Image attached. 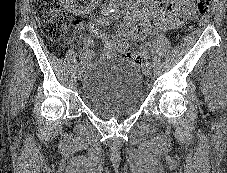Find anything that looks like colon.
<instances>
[{
    "instance_id": "obj_1",
    "label": "colon",
    "mask_w": 227,
    "mask_h": 173,
    "mask_svg": "<svg viewBox=\"0 0 227 173\" xmlns=\"http://www.w3.org/2000/svg\"><path fill=\"white\" fill-rule=\"evenodd\" d=\"M34 15L41 27L43 34L55 41L64 38L71 25L69 16L60 9L59 0H31ZM212 0H196V9L200 13L209 12ZM79 22H75L78 25ZM124 58L141 62L142 58L137 52H127Z\"/></svg>"
}]
</instances>
